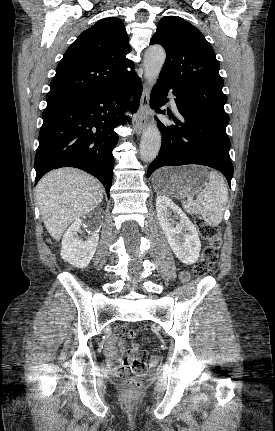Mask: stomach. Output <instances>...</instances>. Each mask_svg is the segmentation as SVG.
<instances>
[{
  "instance_id": "0dacf381",
  "label": "stomach",
  "mask_w": 275,
  "mask_h": 431,
  "mask_svg": "<svg viewBox=\"0 0 275 431\" xmlns=\"http://www.w3.org/2000/svg\"><path fill=\"white\" fill-rule=\"evenodd\" d=\"M208 171L199 165H188L182 167H165L153 175L154 189L178 199L194 196L207 184Z\"/></svg>"
}]
</instances>
